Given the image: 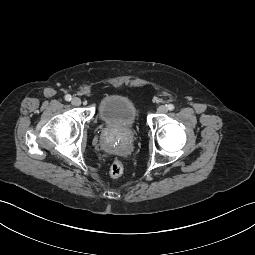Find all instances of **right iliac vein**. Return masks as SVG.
<instances>
[{
  "mask_svg": "<svg viewBox=\"0 0 255 255\" xmlns=\"http://www.w3.org/2000/svg\"><path fill=\"white\" fill-rule=\"evenodd\" d=\"M71 103L74 105V106H79L81 104V100L80 98L78 97H74L71 101Z\"/></svg>",
  "mask_w": 255,
  "mask_h": 255,
  "instance_id": "1",
  "label": "right iliac vein"
}]
</instances>
